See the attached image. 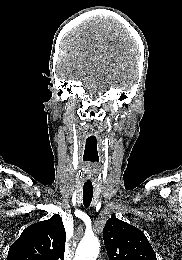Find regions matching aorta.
<instances>
[{
  "instance_id": "obj_1",
  "label": "aorta",
  "mask_w": 182,
  "mask_h": 260,
  "mask_svg": "<svg viewBox=\"0 0 182 260\" xmlns=\"http://www.w3.org/2000/svg\"><path fill=\"white\" fill-rule=\"evenodd\" d=\"M100 243L96 237H84L79 243L73 260H96Z\"/></svg>"
}]
</instances>
